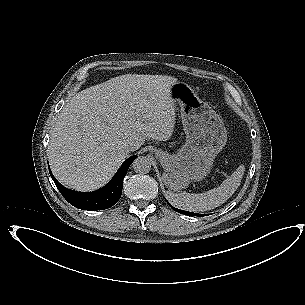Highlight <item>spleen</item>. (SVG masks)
Returning <instances> with one entry per match:
<instances>
[{
  "instance_id": "1",
  "label": "spleen",
  "mask_w": 305,
  "mask_h": 305,
  "mask_svg": "<svg viewBox=\"0 0 305 305\" xmlns=\"http://www.w3.org/2000/svg\"><path fill=\"white\" fill-rule=\"evenodd\" d=\"M241 175L234 172L229 178L225 179L217 188L199 194L173 193L168 192V200L177 208L191 211L204 212L214 209L225 203L233 194V185L239 180Z\"/></svg>"
}]
</instances>
